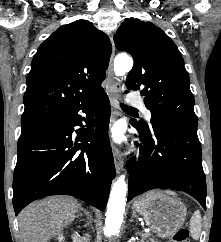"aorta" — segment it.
Returning a JSON list of instances; mask_svg holds the SVG:
<instances>
[{"mask_svg": "<svg viewBox=\"0 0 221 242\" xmlns=\"http://www.w3.org/2000/svg\"><path fill=\"white\" fill-rule=\"evenodd\" d=\"M133 67V59L127 55H118L114 60V72L116 76H124ZM127 184L125 175H121L113 184L110 193L104 232L107 236H113L119 232L123 221L126 206Z\"/></svg>", "mask_w": 221, "mask_h": 242, "instance_id": "1", "label": "aorta"}]
</instances>
